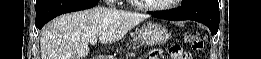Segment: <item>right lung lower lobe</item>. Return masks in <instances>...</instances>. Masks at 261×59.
<instances>
[{
	"mask_svg": "<svg viewBox=\"0 0 261 59\" xmlns=\"http://www.w3.org/2000/svg\"><path fill=\"white\" fill-rule=\"evenodd\" d=\"M98 0H47L36 8L35 24L41 29L51 19L68 12L94 7Z\"/></svg>",
	"mask_w": 261,
	"mask_h": 59,
	"instance_id": "obj_1",
	"label": "right lung lower lobe"
}]
</instances>
